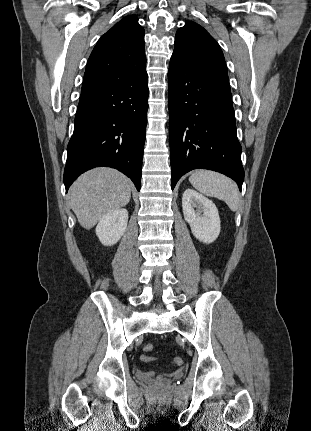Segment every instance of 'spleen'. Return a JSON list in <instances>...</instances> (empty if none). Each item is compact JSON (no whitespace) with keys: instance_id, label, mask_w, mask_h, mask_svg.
Instances as JSON below:
<instances>
[{"instance_id":"1","label":"spleen","mask_w":311,"mask_h":431,"mask_svg":"<svg viewBox=\"0 0 311 431\" xmlns=\"http://www.w3.org/2000/svg\"><path fill=\"white\" fill-rule=\"evenodd\" d=\"M195 190L204 194V196H211V198H218L226 202L228 208L232 212H236L240 204V196L238 188L230 178L217 174V172H208V170H196L189 178Z\"/></svg>"}]
</instances>
